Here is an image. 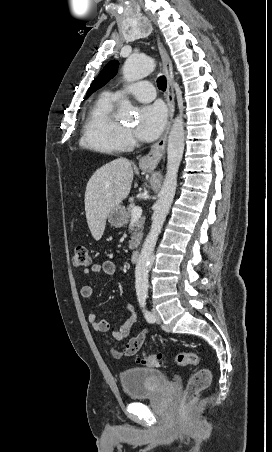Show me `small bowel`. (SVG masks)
Masks as SVG:
<instances>
[{
    "instance_id": "c3829d8e",
    "label": "small bowel",
    "mask_w": 272,
    "mask_h": 452,
    "mask_svg": "<svg viewBox=\"0 0 272 452\" xmlns=\"http://www.w3.org/2000/svg\"><path fill=\"white\" fill-rule=\"evenodd\" d=\"M83 272L85 275H89L91 273H104L111 276L116 272V265L112 260H104L100 263L93 264L90 268L84 269ZM93 292V287L90 284H84L80 289V294L85 299L91 298L93 296ZM126 310L128 313V318L118 329H112L110 323L106 319H98L97 315L93 313L88 316V321L96 332L105 333L111 330L114 338L119 340L127 339L130 337L132 328L137 322V312L134 305L129 302L126 303ZM147 334V330H142L136 336L130 338L129 341L134 339L138 340L140 350L147 337ZM114 355L120 356L121 352L115 351Z\"/></svg>"
}]
</instances>
